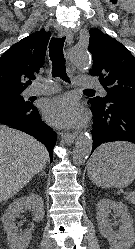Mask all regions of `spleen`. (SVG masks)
Returning <instances> with one entry per match:
<instances>
[{
  "label": "spleen",
  "mask_w": 135,
  "mask_h": 249,
  "mask_svg": "<svg viewBox=\"0 0 135 249\" xmlns=\"http://www.w3.org/2000/svg\"><path fill=\"white\" fill-rule=\"evenodd\" d=\"M113 148L117 151H123L135 155V145L126 142H116L113 145Z\"/></svg>",
  "instance_id": "1"
}]
</instances>
